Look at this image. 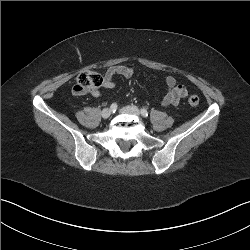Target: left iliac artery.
I'll return each instance as SVG.
<instances>
[{
	"label": "left iliac artery",
	"instance_id": "left-iliac-artery-1",
	"mask_svg": "<svg viewBox=\"0 0 250 250\" xmlns=\"http://www.w3.org/2000/svg\"><path fill=\"white\" fill-rule=\"evenodd\" d=\"M141 115H142L143 117H148V111H147L146 109L142 108V109H141Z\"/></svg>",
	"mask_w": 250,
	"mask_h": 250
}]
</instances>
